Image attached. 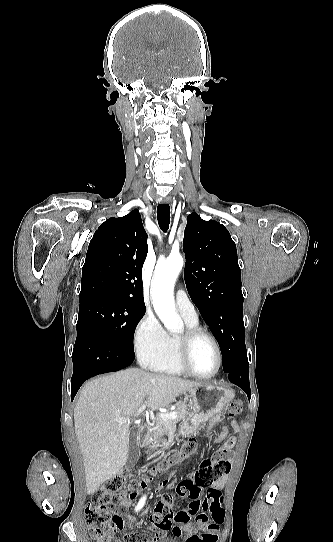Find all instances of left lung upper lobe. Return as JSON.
<instances>
[{
	"label": "left lung upper lobe",
	"mask_w": 333,
	"mask_h": 542,
	"mask_svg": "<svg viewBox=\"0 0 333 542\" xmlns=\"http://www.w3.org/2000/svg\"><path fill=\"white\" fill-rule=\"evenodd\" d=\"M183 251L188 293L215 335L228 372L247 356L236 245L224 225L193 212L187 217Z\"/></svg>",
	"instance_id": "obj_1"
}]
</instances>
